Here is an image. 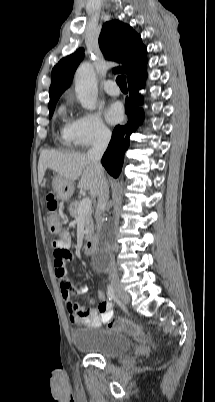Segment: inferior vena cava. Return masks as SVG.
I'll list each match as a JSON object with an SVG mask.
<instances>
[{
    "label": "inferior vena cava",
    "mask_w": 215,
    "mask_h": 402,
    "mask_svg": "<svg viewBox=\"0 0 215 402\" xmlns=\"http://www.w3.org/2000/svg\"><path fill=\"white\" fill-rule=\"evenodd\" d=\"M111 138V132L108 130L102 131L98 138L96 139L93 147L89 149L87 156L91 160L95 171L98 175V192H97V197H98V205H97V212H96V217L99 225V230L102 233H106V229L103 225L102 221V214L104 213L107 204H108V199H109V186L108 182L104 176V170L101 165V158L108 146V143ZM107 249V246H106ZM108 276L109 280L112 283H117L118 282V273H117V267L115 264V259L114 257L110 254L109 255V265H108Z\"/></svg>",
    "instance_id": "1"
}]
</instances>
